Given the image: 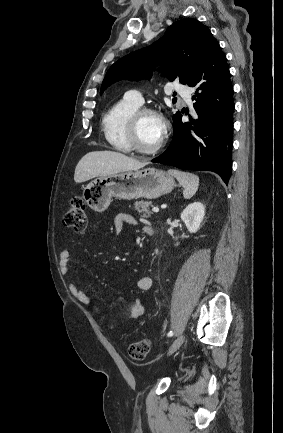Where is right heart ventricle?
<instances>
[{"instance_id":"1","label":"right heart ventricle","mask_w":283,"mask_h":433,"mask_svg":"<svg viewBox=\"0 0 283 433\" xmlns=\"http://www.w3.org/2000/svg\"><path fill=\"white\" fill-rule=\"evenodd\" d=\"M139 108L127 98L112 106L102 117L101 127L107 142L117 151H131L127 139V125L130 116Z\"/></svg>"}]
</instances>
